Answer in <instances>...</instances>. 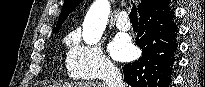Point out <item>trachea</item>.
<instances>
[{
	"label": "trachea",
	"mask_w": 205,
	"mask_h": 87,
	"mask_svg": "<svg viewBox=\"0 0 205 87\" xmlns=\"http://www.w3.org/2000/svg\"><path fill=\"white\" fill-rule=\"evenodd\" d=\"M133 4V2H132ZM129 18L131 22H138V17H137V8L136 6L133 4L131 12L129 14Z\"/></svg>",
	"instance_id": "3493384b"
}]
</instances>
